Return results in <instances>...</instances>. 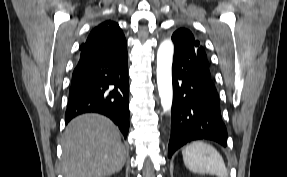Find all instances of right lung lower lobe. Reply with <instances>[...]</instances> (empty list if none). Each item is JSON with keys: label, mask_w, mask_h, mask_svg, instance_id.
<instances>
[{"label": "right lung lower lobe", "mask_w": 287, "mask_h": 177, "mask_svg": "<svg viewBox=\"0 0 287 177\" xmlns=\"http://www.w3.org/2000/svg\"><path fill=\"white\" fill-rule=\"evenodd\" d=\"M73 71L65 121L95 112L109 117L124 138L129 131L127 43L121 31H91Z\"/></svg>", "instance_id": "98d812e1"}]
</instances>
